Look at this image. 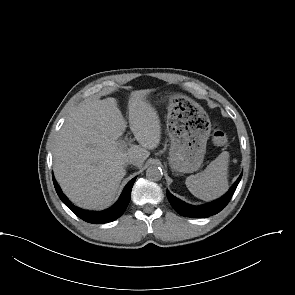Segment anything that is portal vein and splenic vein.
I'll return each instance as SVG.
<instances>
[{
	"instance_id": "1",
	"label": "portal vein and splenic vein",
	"mask_w": 295,
	"mask_h": 295,
	"mask_svg": "<svg viewBox=\"0 0 295 295\" xmlns=\"http://www.w3.org/2000/svg\"><path fill=\"white\" fill-rule=\"evenodd\" d=\"M119 146L123 149H126L127 143L125 141H123V142L119 143Z\"/></svg>"
}]
</instances>
